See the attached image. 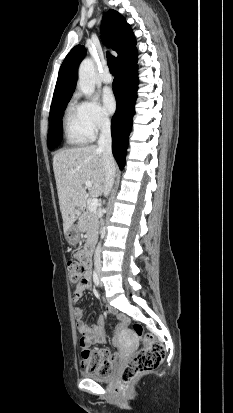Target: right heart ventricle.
<instances>
[{
	"label": "right heart ventricle",
	"instance_id": "right-heart-ventricle-1",
	"mask_svg": "<svg viewBox=\"0 0 233 413\" xmlns=\"http://www.w3.org/2000/svg\"><path fill=\"white\" fill-rule=\"evenodd\" d=\"M63 131L69 146H81L93 139L84 124L79 105L75 103H71L65 111Z\"/></svg>",
	"mask_w": 233,
	"mask_h": 413
}]
</instances>
